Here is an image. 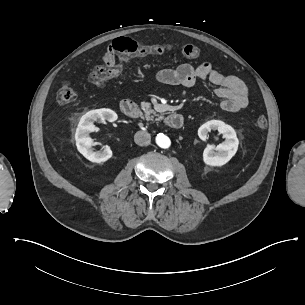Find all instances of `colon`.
Wrapping results in <instances>:
<instances>
[{"instance_id":"1","label":"colon","mask_w":305,"mask_h":305,"mask_svg":"<svg viewBox=\"0 0 305 305\" xmlns=\"http://www.w3.org/2000/svg\"><path fill=\"white\" fill-rule=\"evenodd\" d=\"M113 43L116 49L114 63L101 67L96 66L89 75L88 81L90 84L99 87L107 80L117 76L122 71L128 58L143 56L145 54H162L171 49L170 45H165L160 47L157 52L155 47L140 45L138 39L133 35H127L124 38L118 37ZM182 53L189 59H199L202 56V50L193 44L184 45L182 47ZM76 96L73 87L62 84L58 89L56 100L59 104H69L76 100ZM256 123L259 128H265L267 119L265 116H259L256 119Z\"/></svg>"}]
</instances>
